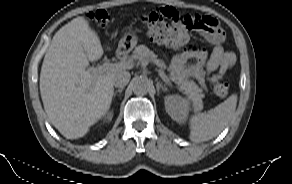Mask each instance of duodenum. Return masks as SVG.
<instances>
[{"mask_svg": "<svg viewBox=\"0 0 292 184\" xmlns=\"http://www.w3.org/2000/svg\"><path fill=\"white\" fill-rule=\"evenodd\" d=\"M124 54H125V51L122 50V49H119V50L116 52V55H117L118 57H122Z\"/></svg>", "mask_w": 292, "mask_h": 184, "instance_id": "obj_1", "label": "duodenum"}]
</instances>
